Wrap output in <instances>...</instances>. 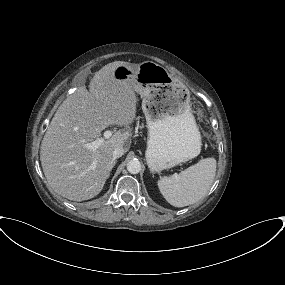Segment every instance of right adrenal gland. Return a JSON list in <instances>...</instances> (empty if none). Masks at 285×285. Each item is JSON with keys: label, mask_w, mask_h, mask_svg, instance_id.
<instances>
[{"label": "right adrenal gland", "mask_w": 285, "mask_h": 285, "mask_svg": "<svg viewBox=\"0 0 285 285\" xmlns=\"http://www.w3.org/2000/svg\"><path fill=\"white\" fill-rule=\"evenodd\" d=\"M115 163H116V161L114 162V165H115ZM108 175H110V171H109Z\"/></svg>", "instance_id": "1"}]
</instances>
